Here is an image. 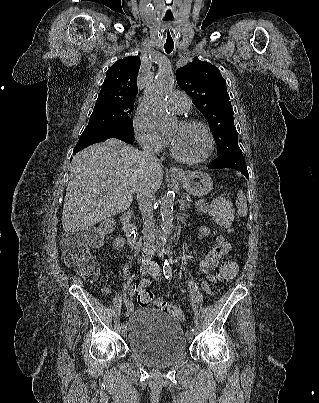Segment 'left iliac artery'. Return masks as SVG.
Segmentation results:
<instances>
[{
    "instance_id": "1",
    "label": "left iliac artery",
    "mask_w": 319,
    "mask_h": 403,
    "mask_svg": "<svg viewBox=\"0 0 319 403\" xmlns=\"http://www.w3.org/2000/svg\"><path fill=\"white\" fill-rule=\"evenodd\" d=\"M163 273L166 279L170 280L172 278V268L168 262L164 263ZM190 332L194 333V329H191Z\"/></svg>"
}]
</instances>
